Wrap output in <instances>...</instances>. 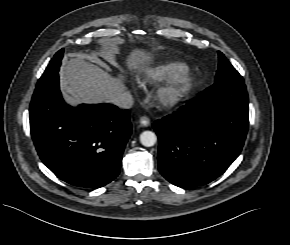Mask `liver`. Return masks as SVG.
I'll return each mask as SVG.
<instances>
[{
  "mask_svg": "<svg viewBox=\"0 0 290 245\" xmlns=\"http://www.w3.org/2000/svg\"><path fill=\"white\" fill-rule=\"evenodd\" d=\"M150 54L135 49L127 59L130 70H146ZM60 80L65 99L71 104L109 102L110 98L124 92L123 77L114 78L103 69L82 58L64 61Z\"/></svg>",
  "mask_w": 290,
  "mask_h": 245,
  "instance_id": "6515ba94",
  "label": "liver"
}]
</instances>
